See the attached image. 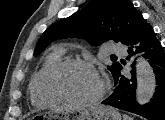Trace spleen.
I'll list each match as a JSON object with an SVG mask.
<instances>
[{"label": "spleen", "mask_w": 165, "mask_h": 120, "mask_svg": "<svg viewBox=\"0 0 165 120\" xmlns=\"http://www.w3.org/2000/svg\"><path fill=\"white\" fill-rule=\"evenodd\" d=\"M123 119H124V120H133V119L130 118L128 115H124V116H123Z\"/></svg>", "instance_id": "1"}]
</instances>
